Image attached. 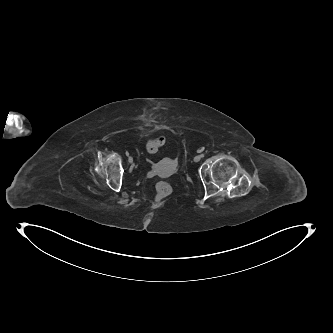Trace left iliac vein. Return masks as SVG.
Returning <instances> with one entry per match:
<instances>
[{
	"instance_id": "1",
	"label": "left iliac vein",
	"mask_w": 333,
	"mask_h": 333,
	"mask_svg": "<svg viewBox=\"0 0 333 333\" xmlns=\"http://www.w3.org/2000/svg\"><path fill=\"white\" fill-rule=\"evenodd\" d=\"M201 158H202V156L201 155H197V156H195L194 157V162H198V161H200L201 160Z\"/></svg>"
}]
</instances>
